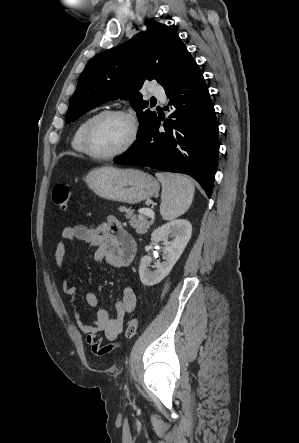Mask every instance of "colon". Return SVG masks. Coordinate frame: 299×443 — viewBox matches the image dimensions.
I'll list each match as a JSON object with an SVG mask.
<instances>
[{
	"label": "colon",
	"mask_w": 299,
	"mask_h": 443,
	"mask_svg": "<svg viewBox=\"0 0 299 443\" xmlns=\"http://www.w3.org/2000/svg\"><path fill=\"white\" fill-rule=\"evenodd\" d=\"M70 188L67 184L58 183L54 185L52 189V201L60 210H66L69 205ZM138 329V320L132 318L127 322L125 328V336L127 338H133Z\"/></svg>",
	"instance_id": "obj_1"
}]
</instances>
